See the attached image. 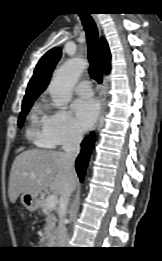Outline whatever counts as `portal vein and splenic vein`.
<instances>
[{"label": "portal vein and splenic vein", "mask_w": 162, "mask_h": 261, "mask_svg": "<svg viewBox=\"0 0 162 261\" xmlns=\"http://www.w3.org/2000/svg\"><path fill=\"white\" fill-rule=\"evenodd\" d=\"M47 206L54 209L58 203V197L56 195H49L46 199Z\"/></svg>", "instance_id": "18ae733b"}]
</instances>
